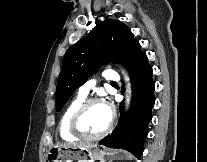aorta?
Here are the masks:
<instances>
[{
	"label": "aorta",
	"instance_id": "obj_1",
	"mask_svg": "<svg viewBox=\"0 0 207 162\" xmlns=\"http://www.w3.org/2000/svg\"><path fill=\"white\" fill-rule=\"evenodd\" d=\"M125 80H126V81L129 80L128 76H126V75H125ZM129 101H130V98H127V104L129 103Z\"/></svg>",
	"mask_w": 207,
	"mask_h": 162
}]
</instances>
